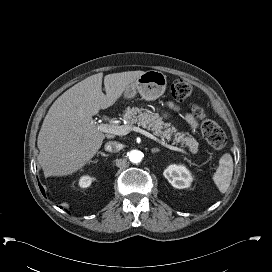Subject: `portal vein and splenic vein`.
I'll return each mask as SVG.
<instances>
[{"label":"portal vein and splenic vein","mask_w":272,"mask_h":272,"mask_svg":"<svg viewBox=\"0 0 272 272\" xmlns=\"http://www.w3.org/2000/svg\"><path fill=\"white\" fill-rule=\"evenodd\" d=\"M97 129L101 132L104 133H109V134H114V135H127L129 132L131 131H135L138 132L140 134L145 135L146 137L153 139L159 143H161L163 146H165L166 148L173 150V151H178L181 153H186V151L182 148H178L176 146H172L170 144H167L165 142L160 141L156 136H154L153 134L149 133L148 131L141 129L139 127L136 126H128V125H122V126H118V125H114V124H99L97 126Z\"/></svg>","instance_id":"portal-vein-and-splenic-vein-1"}]
</instances>
